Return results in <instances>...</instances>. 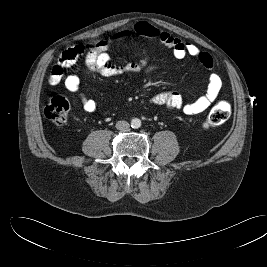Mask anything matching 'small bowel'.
<instances>
[{
  "mask_svg": "<svg viewBox=\"0 0 267 267\" xmlns=\"http://www.w3.org/2000/svg\"><path fill=\"white\" fill-rule=\"evenodd\" d=\"M134 37L159 40L171 49L172 55L176 59L191 56L199 60L206 68L212 69L213 67L211 55L199 49L195 44L159 30L148 22L139 21L106 38L92 43L77 44L65 49L51 70L49 83L57 85L64 82L65 88L78 96L79 101L77 104L86 112H94L97 104L86 96L81 87L79 77L75 74L65 75V70L72 67L79 57L84 58V63L88 70L105 77L138 74L155 70L156 66L150 63L148 57L125 65L114 64L111 61L110 47L118 42ZM222 88L223 81L221 77L217 73L211 72L205 94L192 102H185L181 94L175 91L159 92L151 97L150 102L155 105L164 106L168 111L179 110L186 115H196L204 112L217 99Z\"/></svg>",
  "mask_w": 267,
  "mask_h": 267,
  "instance_id": "1",
  "label": "small bowel"
}]
</instances>
